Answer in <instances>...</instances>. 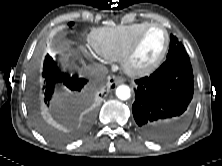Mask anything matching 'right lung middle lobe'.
<instances>
[{
  "label": "right lung middle lobe",
  "mask_w": 222,
  "mask_h": 166,
  "mask_svg": "<svg viewBox=\"0 0 222 166\" xmlns=\"http://www.w3.org/2000/svg\"><path fill=\"white\" fill-rule=\"evenodd\" d=\"M73 25H74L73 22H70V23H69V26H73ZM45 111H46V110H45V107L42 105L40 110L37 109V110L34 111V113H33V119H34V121H35V124H36L37 128H38L41 132H43L44 134H46L47 136H50V137L55 138V139L60 138L59 135H58L55 131H53V130L47 125V123L45 122V120H44L43 117L41 116L40 112H41L42 114H45Z\"/></svg>",
  "instance_id": "dd1d6c3e"
}]
</instances>
